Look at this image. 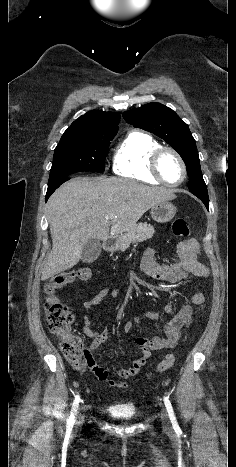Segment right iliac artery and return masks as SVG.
Instances as JSON below:
<instances>
[{
    "label": "right iliac artery",
    "instance_id": "82829eb1",
    "mask_svg": "<svg viewBox=\"0 0 236 467\" xmlns=\"http://www.w3.org/2000/svg\"><path fill=\"white\" fill-rule=\"evenodd\" d=\"M79 402H80V397H79V395H77L75 397V400L73 401V404H72V409H71V412H70V417H69V420H68V424H73L74 423V418H75V415L77 413Z\"/></svg>",
    "mask_w": 236,
    "mask_h": 467
}]
</instances>
